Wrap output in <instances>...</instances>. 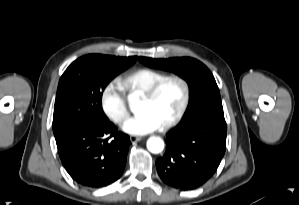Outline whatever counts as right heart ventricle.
Returning a JSON list of instances; mask_svg holds the SVG:
<instances>
[{"label": "right heart ventricle", "instance_id": "e07e8e85", "mask_svg": "<svg viewBox=\"0 0 299 205\" xmlns=\"http://www.w3.org/2000/svg\"><path fill=\"white\" fill-rule=\"evenodd\" d=\"M167 74L152 68H138L120 77L117 82L129 95L140 96Z\"/></svg>", "mask_w": 299, "mask_h": 205}]
</instances>
